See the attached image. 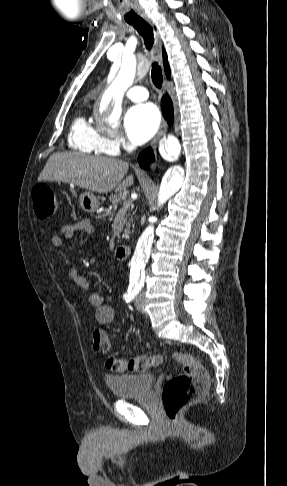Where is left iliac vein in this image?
<instances>
[{
  "label": "left iliac vein",
  "mask_w": 287,
  "mask_h": 486,
  "mask_svg": "<svg viewBox=\"0 0 287 486\" xmlns=\"http://www.w3.org/2000/svg\"><path fill=\"white\" fill-rule=\"evenodd\" d=\"M144 303H145L144 293H140L135 299V307L141 313L145 312Z\"/></svg>",
  "instance_id": "obj_1"
}]
</instances>
